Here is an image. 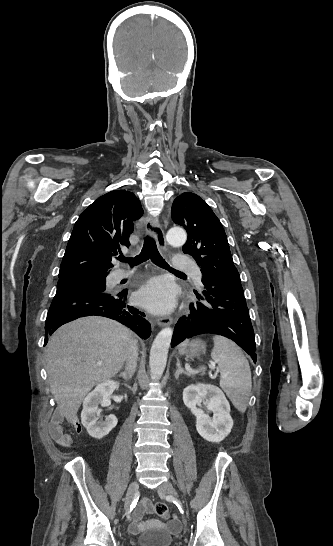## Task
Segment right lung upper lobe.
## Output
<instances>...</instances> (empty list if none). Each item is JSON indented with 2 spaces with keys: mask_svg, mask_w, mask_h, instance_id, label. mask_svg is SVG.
Wrapping results in <instances>:
<instances>
[{
  "mask_svg": "<svg viewBox=\"0 0 333 546\" xmlns=\"http://www.w3.org/2000/svg\"><path fill=\"white\" fill-rule=\"evenodd\" d=\"M143 214L136 196L111 191L95 200L79 216L61 262L59 280L107 275L112 256L129 246L133 221Z\"/></svg>",
  "mask_w": 333,
  "mask_h": 546,
  "instance_id": "1",
  "label": "right lung upper lobe"
}]
</instances>
